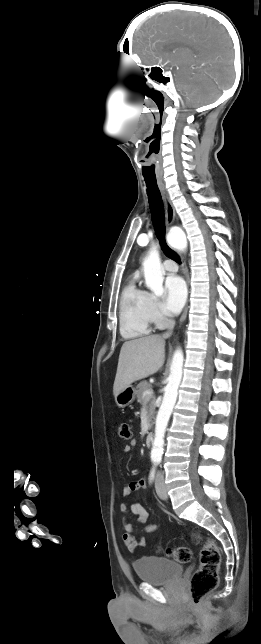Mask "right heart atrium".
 I'll use <instances>...</instances> for the list:
<instances>
[{
	"instance_id": "1",
	"label": "right heart atrium",
	"mask_w": 261,
	"mask_h": 644,
	"mask_svg": "<svg viewBox=\"0 0 261 644\" xmlns=\"http://www.w3.org/2000/svg\"><path fill=\"white\" fill-rule=\"evenodd\" d=\"M150 314H151L153 322L157 326H162V325L166 324L167 321H168L167 317L165 316V314H164V312L162 310L161 303L158 300L154 299V298H151V300H150Z\"/></svg>"
}]
</instances>
